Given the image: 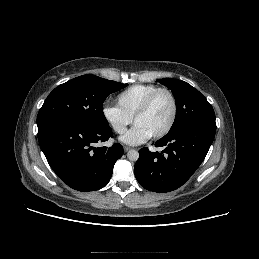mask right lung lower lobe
Returning a JSON list of instances; mask_svg holds the SVG:
<instances>
[{
	"label": "right lung lower lobe",
	"instance_id": "obj_1",
	"mask_svg": "<svg viewBox=\"0 0 259 259\" xmlns=\"http://www.w3.org/2000/svg\"><path fill=\"white\" fill-rule=\"evenodd\" d=\"M110 137V126L94 127L73 120H57L38 128L39 144L50 167L69 187L83 192L104 187L123 155L119 143L93 147Z\"/></svg>",
	"mask_w": 259,
	"mask_h": 259
}]
</instances>
